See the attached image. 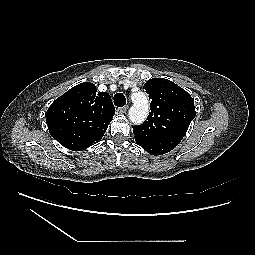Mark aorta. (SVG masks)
<instances>
[{"label": "aorta", "mask_w": 255, "mask_h": 255, "mask_svg": "<svg viewBox=\"0 0 255 255\" xmlns=\"http://www.w3.org/2000/svg\"><path fill=\"white\" fill-rule=\"evenodd\" d=\"M131 99L133 105L129 110V119L133 124L138 125L144 122L148 115V99L146 95L140 91L133 93Z\"/></svg>", "instance_id": "762f6f07"}]
</instances>
